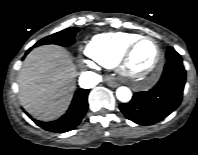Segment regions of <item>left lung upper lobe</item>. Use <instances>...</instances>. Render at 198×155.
Returning <instances> with one entry per match:
<instances>
[{
  "label": "left lung upper lobe",
  "mask_w": 198,
  "mask_h": 155,
  "mask_svg": "<svg viewBox=\"0 0 198 155\" xmlns=\"http://www.w3.org/2000/svg\"><path fill=\"white\" fill-rule=\"evenodd\" d=\"M167 62L169 61H182L181 56L174 50L173 47H169L166 53Z\"/></svg>",
  "instance_id": "left-lung-upper-lobe-1"
}]
</instances>
